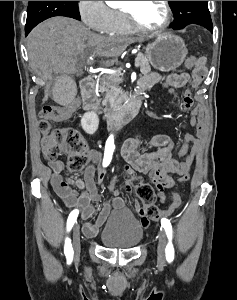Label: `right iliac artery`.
I'll return each mask as SVG.
<instances>
[{
  "instance_id": "right-iliac-artery-1",
  "label": "right iliac artery",
  "mask_w": 237,
  "mask_h": 300,
  "mask_svg": "<svg viewBox=\"0 0 237 300\" xmlns=\"http://www.w3.org/2000/svg\"><path fill=\"white\" fill-rule=\"evenodd\" d=\"M115 149V145H114V136L110 135L109 138L106 141V145H105V153H104V159H103V166L107 167L112 159V155ZM79 214V210L75 209L73 210L67 220V231L69 232L74 223L77 220ZM64 253L66 255V258L71 262L73 259V248H72V244H71V240L69 238H66L65 240V246H64Z\"/></svg>"
}]
</instances>
